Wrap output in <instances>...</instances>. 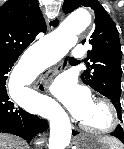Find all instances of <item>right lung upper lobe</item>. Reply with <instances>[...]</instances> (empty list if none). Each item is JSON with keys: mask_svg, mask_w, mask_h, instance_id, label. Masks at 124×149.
<instances>
[{"mask_svg": "<svg viewBox=\"0 0 124 149\" xmlns=\"http://www.w3.org/2000/svg\"><path fill=\"white\" fill-rule=\"evenodd\" d=\"M57 20L50 22L56 26ZM47 25L37 0H8L0 6V58L19 56Z\"/></svg>", "mask_w": 124, "mask_h": 149, "instance_id": "cb5924a9", "label": "right lung upper lobe"}]
</instances>
